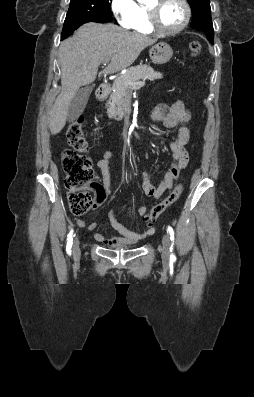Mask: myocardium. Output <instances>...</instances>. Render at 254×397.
<instances>
[{
    "mask_svg": "<svg viewBox=\"0 0 254 397\" xmlns=\"http://www.w3.org/2000/svg\"><path fill=\"white\" fill-rule=\"evenodd\" d=\"M158 3L163 2L164 0H156ZM184 8V18L181 22V24L174 28V29H165L163 27H161L158 23L157 20V14H156V9L154 7H150L148 6L146 8L147 10V18H148V23L150 28L152 29V31L161 34V35H176L178 33H180L181 31H183L191 18V8L189 3L187 2V0H177Z\"/></svg>",
    "mask_w": 254,
    "mask_h": 397,
    "instance_id": "1",
    "label": "myocardium"
}]
</instances>
